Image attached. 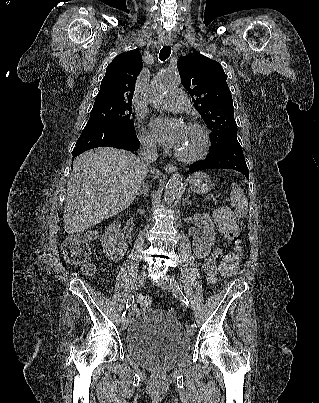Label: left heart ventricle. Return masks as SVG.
I'll return each mask as SVG.
<instances>
[{"instance_id":"left-heart-ventricle-1","label":"left heart ventricle","mask_w":319,"mask_h":403,"mask_svg":"<svg viewBox=\"0 0 319 403\" xmlns=\"http://www.w3.org/2000/svg\"><path fill=\"white\" fill-rule=\"evenodd\" d=\"M201 145L202 139L198 131L185 127L183 139L176 148V151L183 155L191 156L200 150Z\"/></svg>"}]
</instances>
